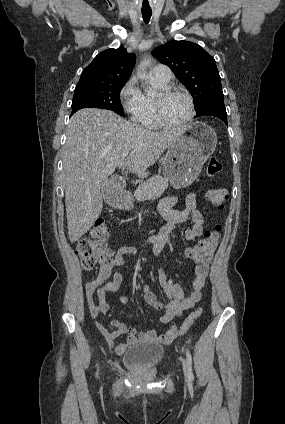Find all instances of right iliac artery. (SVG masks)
<instances>
[{"mask_svg":"<svg viewBox=\"0 0 285 424\" xmlns=\"http://www.w3.org/2000/svg\"><path fill=\"white\" fill-rule=\"evenodd\" d=\"M96 375L98 376V370H97V373H96Z\"/></svg>","mask_w":285,"mask_h":424,"instance_id":"1","label":"right iliac artery"}]
</instances>
